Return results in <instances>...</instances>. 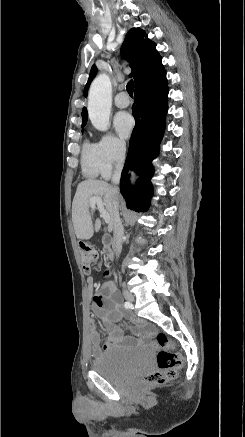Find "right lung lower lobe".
Here are the masks:
<instances>
[{"mask_svg": "<svg viewBox=\"0 0 245 437\" xmlns=\"http://www.w3.org/2000/svg\"><path fill=\"white\" fill-rule=\"evenodd\" d=\"M167 80L135 90L133 116L136 124L129 143L127 159L122 171L120 191L127 207L137 212H145L150 205L152 186L150 179L154 168L152 160L159 153V144L165 129L168 111ZM140 173L141 180L131 186L128 170Z\"/></svg>", "mask_w": 245, "mask_h": 437, "instance_id": "right-lung-lower-lobe-1", "label": "right lung lower lobe"}]
</instances>
